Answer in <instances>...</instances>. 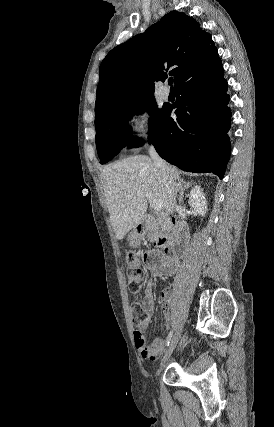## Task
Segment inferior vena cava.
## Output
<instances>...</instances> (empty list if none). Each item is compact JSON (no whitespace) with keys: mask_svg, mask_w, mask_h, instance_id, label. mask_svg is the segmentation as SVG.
Returning <instances> with one entry per match:
<instances>
[{"mask_svg":"<svg viewBox=\"0 0 274 427\" xmlns=\"http://www.w3.org/2000/svg\"><path fill=\"white\" fill-rule=\"evenodd\" d=\"M148 154L151 158V160H153L155 166H157V168H160V170H166L167 168V164L166 162H164V160H162V158H160V156H158L155 148H153V146H150L149 150H148ZM173 202V206L174 208H177L176 206V202H175V198H172Z\"/></svg>","mask_w":274,"mask_h":427,"instance_id":"inferior-vena-cava-1","label":"inferior vena cava"}]
</instances>
